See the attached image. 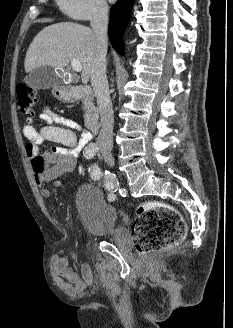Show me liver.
<instances>
[{"mask_svg": "<svg viewBox=\"0 0 233 328\" xmlns=\"http://www.w3.org/2000/svg\"><path fill=\"white\" fill-rule=\"evenodd\" d=\"M96 47V35L89 27L74 22L47 26L35 36L27 50L25 71L30 73L45 65L62 69L75 58L82 65L81 79L86 84Z\"/></svg>", "mask_w": 233, "mask_h": 328, "instance_id": "liver-1", "label": "liver"}]
</instances>
